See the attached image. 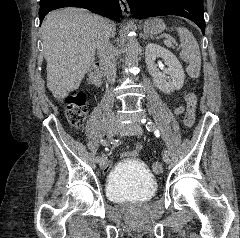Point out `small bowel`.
<instances>
[{
  "label": "small bowel",
  "mask_w": 240,
  "mask_h": 238,
  "mask_svg": "<svg viewBox=\"0 0 240 238\" xmlns=\"http://www.w3.org/2000/svg\"><path fill=\"white\" fill-rule=\"evenodd\" d=\"M175 112L177 114H180V113L183 112V108L182 107H177L175 109ZM133 147L136 148V149H120L119 153L120 154H143L144 153V150L140 149V148H144V143H134ZM145 147L149 148L150 144L146 143ZM109 160H111V159H109ZM114 164H115L114 161H107V163L104 164V166H103L104 169L100 171V174L101 175H106L107 172H110L111 167L114 166Z\"/></svg>",
  "instance_id": "c3829d8e"
}]
</instances>
